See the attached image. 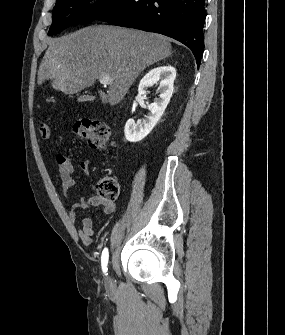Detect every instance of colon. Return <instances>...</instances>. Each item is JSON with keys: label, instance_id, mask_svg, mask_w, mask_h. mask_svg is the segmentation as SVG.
Instances as JSON below:
<instances>
[{"label": "colon", "instance_id": "1", "mask_svg": "<svg viewBox=\"0 0 285 335\" xmlns=\"http://www.w3.org/2000/svg\"><path fill=\"white\" fill-rule=\"evenodd\" d=\"M73 131L77 137L86 140L95 149H105L113 144L110 128L101 121L78 120L73 125ZM39 132L43 139L51 137L50 128L45 122L40 123ZM96 190L102 200L113 203L120 193L119 182L114 177L105 176L98 181Z\"/></svg>", "mask_w": 285, "mask_h": 335}]
</instances>
